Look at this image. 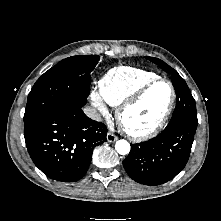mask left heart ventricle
Segmentation results:
<instances>
[{
    "instance_id": "b2bd125f",
    "label": "left heart ventricle",
    "mask_w": 221,
    "mask_h": 221,
    "mask_svg": "<svg viewBox=\"0 0 221 221\" xmlns=\"http://www.w3.org/2000/svg\"><path fill=\"white\" fill-rule=\"evenodd\" d=\"M171 98V89L161 82L150 88L142 101L124 115L126 125L137 131L152 128L164 114Z\"/></svg>"
}]
</instances>
